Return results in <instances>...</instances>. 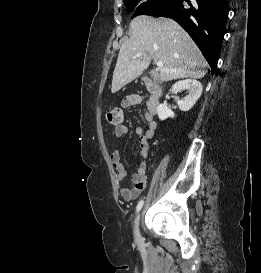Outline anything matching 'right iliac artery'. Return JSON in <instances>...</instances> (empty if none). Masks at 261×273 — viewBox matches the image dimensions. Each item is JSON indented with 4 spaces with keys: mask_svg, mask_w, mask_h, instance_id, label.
<instances>
[{
    "mask_svg": "<svg viewBox=\"0 0 261 273\" xmlns=\"http://www.w3.org/2000/svg\"><path fill=\"white\" fill-rule=\"evenodd\" d=\"M143 203H144L143 200H140V201L138 202V205H137V207H136V211H137V212H139V211L141 210V208H142V206H143Z\"/></svg>",
    "mask_w": 261,
    "mask_h": 273,
    "instance_id": "1",
    "label": "right iliac artery"
}]
</instances>
